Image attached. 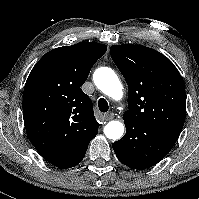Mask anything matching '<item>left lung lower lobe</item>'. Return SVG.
I'll return each mask as SVG.
<instances>
[{
  "mask_svg": "<svg viewBox=\"0 0 199 199\" xmlns=\"http://www.w3.org/2000/svg\"><path fill=\"white\" fill-rule=\"evenodd\" d=\"M124 121L126 134L112 146L119 161L130 168L154 166L170 152L177 141L134 119Z\"/></svg>",
  "mask_w": 199,
  "mask_h": 199,
  "instance_id": "obj_1",
  "label": "left lung lower lobe"
}]
</instances>
